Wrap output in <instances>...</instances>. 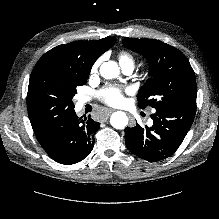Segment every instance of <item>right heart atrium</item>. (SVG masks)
<instances>
[{
	"label": "right heart atrium",
	"mask_w": 219,
	"mask_h": 219,
	"mask_svg": "<svg viewBox=\"0 0 219 219\" xmlns=\"http://www.w3.org/2000/svg\"><path fill=\"white\" fill-rule=\"evenodd\" d=\"M98 66H99V61H97V62L93 65V67H92V72L97 71Z\"/></svg>",
	"instance_id": "right-heart-atrium-1"
}]
</instances>
